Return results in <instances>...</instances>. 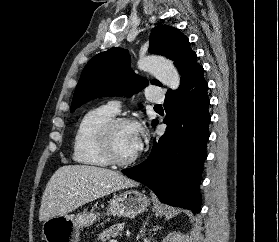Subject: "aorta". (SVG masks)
<instances>
[{
  "instance_id": "obj_1",
  "label": "aorta",
  "mask_w": 279,
  "mask_h": 242,
  "mask_svg": "<svg viewBox=\"0 0 279 242\" xmlns=\"http://www.w3.org/2000/svg\"><path fill=\"white\" fill-rule=\"evenodd\" d=\"M137 66L140 70L151 73L162 84L175 90L180 84V75L171 61L160 56L140 57Z\"/></svg>"
}]
</instances>
